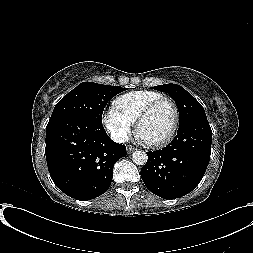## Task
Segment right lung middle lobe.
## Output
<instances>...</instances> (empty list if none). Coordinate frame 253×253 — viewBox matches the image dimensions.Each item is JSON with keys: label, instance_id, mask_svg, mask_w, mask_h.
Masks as SVG:
<instances>
[{"label": "right lung middle lobe", "instance_id": "1", "mask_svg": "<svg viewBox=\"0 0 253 253\" xmlns=\"http://www.w3.org/2000/svg\"><path fill=\"white\" fill-rule=\"evenodd\" d=\"M125 90L120 86L83 82L56 104L50 119L79 115L102 124V113L108 101Z\"/></svg>", "mask_w": 253, "mask_h": 253}]
</instances>
